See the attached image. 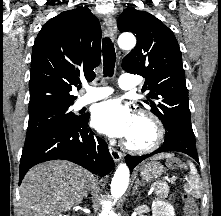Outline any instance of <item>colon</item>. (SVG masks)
<instances>
[{
	"instance_id": "obj_1",
	"label": "colon",
	"mask_w": 221,
	"mask_h": 216,
	"mask_svg": "<svg viewBox=\"0 0 221 216\" xmlns=\"http://www.w3.org/2000/svg\"><path fill=\"white\" fill-rule=\"evenodd\" d=\"M169 166L174 169L178 168L180 166V162L176 159L171 160L169 162ZM183 200L185 204L184 205L185 216H198V208L194 199L188 194H184Z\"/></svg>"
}]
</instances>
